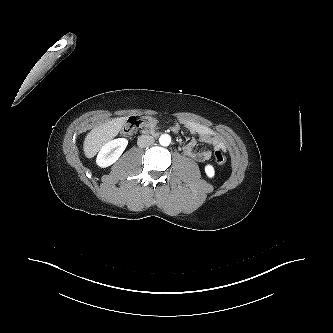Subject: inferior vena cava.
<instances>
[{
    "label": "inferior vena cava",
    "mask_w": 333,
    "mask_h": 333,
    "mask_svg": "<svg viewBox=\"0 0 333 333\" xmlns=\"http://www.w3.org/2000/svg\"><path fill=\"white\" fill-rule=\"evenodd\" d=\"M154 143V138L150 135H142L138 137L137 145L140 148L151 146Z\"/></svg>",
    "instance_id": "obj_1"
}]
</instances>
